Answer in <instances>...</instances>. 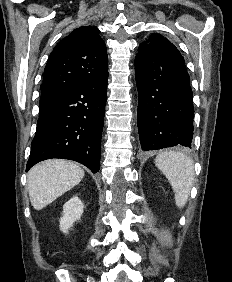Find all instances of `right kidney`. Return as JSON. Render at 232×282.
Masks as SVG:
<instances>
[{
    "label": "right kidney",
    "instance_id": "1",
    "mask_svg": "<svg viewBox=\"0 0 232 282\" xmlns=\"http://www.w3.org/2000/svg\"><path fill=\"white\" fill-rule=\"evenodd\" d=\"M83 204L77 196L71 198L63 206V216L60 219V230L68 233L74 222L80 220L83 213Z\"/></svg>",
    "mask_w": 232,
    "mask_h": 282
}]
</instances>
